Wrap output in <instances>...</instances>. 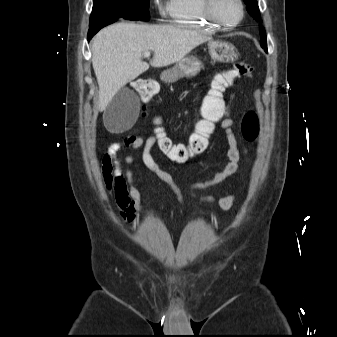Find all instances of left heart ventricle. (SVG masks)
<instances>
[{
	"label": "left heart ventricle",
	"mask_w": 337,
	"mask_h": 337,
	"mask_svg": "<svg viewBox=\"0 0 337 337\" xmlns=\"http://www.w3.org/2000/svg\"><path fill=\"white\" fill-rule=\"evenodd\" d=\"M218 16L225 22H235L240 17V9L236 0H218L216 4Z\"/></svg>",
	"instance_id": "b2bd125f"
}]
</instances>
